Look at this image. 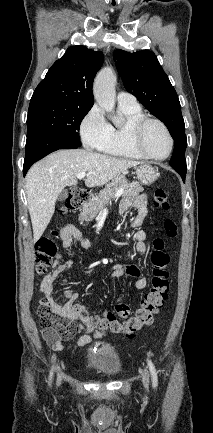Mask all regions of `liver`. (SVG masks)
Wrapping results in <instances>:
<instances>
[{
	"label": "liver",
	"instance_id": "liver-1",
	"mask_svg": "<svg viewBox=\"0 0 213 433\" xmlns=\"http://www.w3.org/2000/svg\"><path fill=\"white\" fill-rule=\"evenodd\" d=\"M140 162L118 159L85 149L59 150L35 163L26 175V195L34 242L48 226L58 195L66 186L78 183L77 174L86 172L87 187L102 186Z\"/></svg>",
	"mask_w": 213,
	"mask_h": 433
}]
</instances>
